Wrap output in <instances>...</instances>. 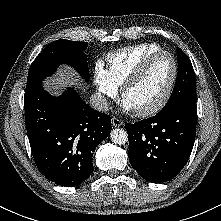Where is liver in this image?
I'll use <instances>...</instances> for the list:
<instances>
[{"label":"liver","instance_id":"6515ba94","mask_svg":"<svg viewBox=\"0 0 221 221\" xmlns=\"http://www.w3.org/2000/svg\"><path fill=\"white\" fill-rule=\"evenodd\" d=\"M81 86L75 73L68 67H61L58 69L55 76L45 81V86L54 94H58L66 86Z\"/></svg>","mask_w":221,"mask_h":221}]
</instances>
